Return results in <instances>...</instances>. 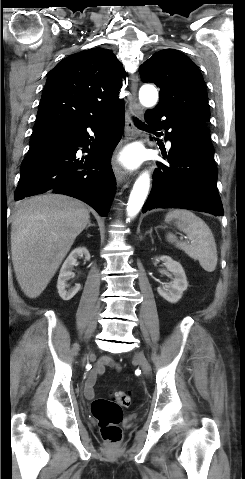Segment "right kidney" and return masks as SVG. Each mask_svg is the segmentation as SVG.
Segmentation results:
<instances>
[{
  "label": "right kidney",
  "instance_id": "right-kidney-1",
  "mask_svg": "<svg viewBox=\"0 0 245 479\" xmlns=\"http://www.w3.org/2000/svg\"><path fill=\"white\" fill-rule=\"evenodd\" d=\"M85 260H90V253L85 247H79L74 249L65 262L63 263L57 281V289L59 296L64 300L68 301L72 299L76 293L80 290V284H76L73 288L66 290L67 288V281L70 280L72 276V270L74 266L77 264V258L83 257Z\"/></svg>",
  "mask_w": 245,
  "mask_h": 479
}]
</instances>
